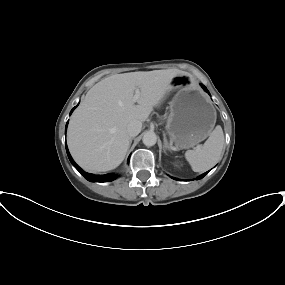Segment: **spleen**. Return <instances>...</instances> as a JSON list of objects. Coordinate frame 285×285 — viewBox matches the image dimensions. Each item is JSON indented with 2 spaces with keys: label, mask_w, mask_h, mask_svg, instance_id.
<instances>
[{
  "label": "spleen",
  "mask_w": 285,
  "mask_h": 285,
  "mask_svg": "<svg viewBox=\"0 0 285 285\" xmlns=\"http://www.w3.org/2000/svg\"><path fill=\"white\" fill-rule=\"evenodd\" d=\"M224 134L221 126H216L202 146L185 152V158L194 172H204L213 167L221 157Z\"/></svg>",
  "instance_id": "obj_1"
}]
</instances>
